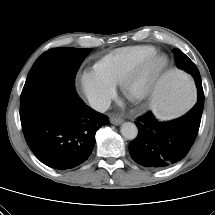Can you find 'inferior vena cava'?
<instances>
[{"label":"inferior vena cava","instance_id":"602c4592","mask_svg":"<svg viewBox=\"0 0 215 215\" xmlns=\"http://www.w3.org/2000/svg\"><path fill=\"white\" fill-rule=\"evenodd\" d=\"M111 100L108 98L95 99L91 101L93 109L99 112H105L110 107Z\"/></svg>","mask_w":215,"mask_h":215}]
</instances>
